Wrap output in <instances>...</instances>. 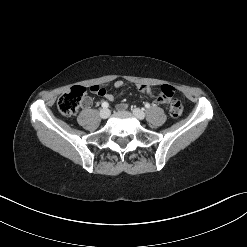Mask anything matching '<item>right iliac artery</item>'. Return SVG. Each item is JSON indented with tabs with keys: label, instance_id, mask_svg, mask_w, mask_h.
I'll list each match as a JSON object with an SVG mask.
<instances>
[{
	"label": "right iliac artery",
	"instance_id": "1",
	"mask_svg": "<svg viewBox=\"0 0 247 247\" xmlns=\"http://www.w3.org/2000/svg\"><path fill=\"white\" fill-rule=\"evenodd\" d=\"M108 106H109L108 102H103V103H102V107H103V108H108Z\"/></svg>",
	"mask_w": 247,
	"mask_h": 247
}]
</instances>
